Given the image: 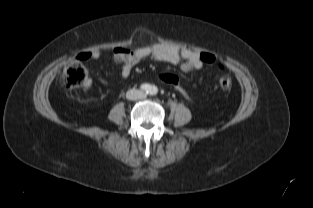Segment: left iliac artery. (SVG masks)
Masks as SVG:
<instances>
[{
  "label": "left iliac artery",
  "mask_w": 313,
  "mask_h": 208,
  "mask_svg": "<svg viewBox=\"0 0 313 208\" xmlns=\"http://www.w3.org/2000/svg\"><path fill=\"white\" fill-rule=\"evenodd\" d=\"M158 93V89L156 86H151L150 94L156 95Z\"/></svg>",
  "instance_id": "left-iliac-artery-1"
}]
</instances>
